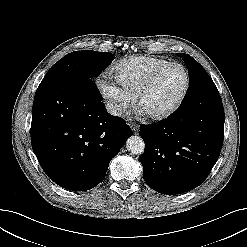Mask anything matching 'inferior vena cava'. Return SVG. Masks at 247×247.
Masks as SVG:
<instances>
[{
	"label": "inferior vena cava",
	"instance_id": "inferior-vena-cava-1",
	"mask_svg": "<svg viewBox=\"0 0 247 247\" xmlns=\"http://www.w3.org/2000/svg\"><path fill=\"white\" fill-rule=\"evenodd\" d=\"M106 109L111 115L114 116H120L122 114V108L116 103H107Z\"/></svg>",
	"mask_w": 247,
	"mask_h": 247
}]
</instances>
